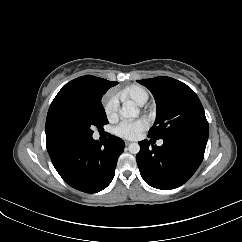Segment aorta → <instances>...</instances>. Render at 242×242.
Returning <instances> with one entry per match:
<instances>
[{"mask_svg": "<svg viewBox=\"0 0 242 242\" xmlns=\"http://www.w3.org/2000/svg\"><path fill=\"white\" fill-rule=\"evenodd\" d=\"M139 114V109L133 104L126 103L120 110V115L123 118H134ZM129 152L132 154H137L140 151V145L138 143H131L128 146Z\"/></svg>", "mask_w": 242, "mask_h": 242, "instance_id": "obj_1", "label": "aorta"}]
</instances>
